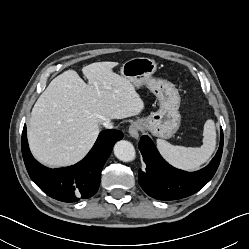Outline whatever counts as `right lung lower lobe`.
I'll list each match as a JSON object with an SVG mask.
<instances>
[{"instance_id": "obj_1", "label": "right lung lower lobe", "mask_w": 249, "mask_h": 249, "mask_svg": "<svg viewBox=\"0 0 249 249\" xmlns=\"http://www.w3.org/2000/svg\"><path fill=\"white\" fill-rule=\"evenodd\" d=\"M122 138L123 133L119 130H104L83 160L70 167L49 169L33 158L24 125L22 155L29 176L42 191L63 202H76L79 199H87L97 192L102 168L113 145Z\"/></svg>"}]
</instances>
